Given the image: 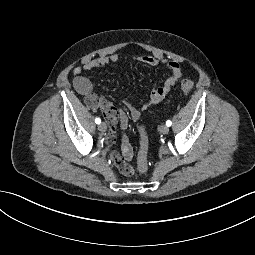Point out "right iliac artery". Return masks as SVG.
Listing matches in <instances>:
<instances>
[{"mask_svg": "<svg viewBox=\"0 0 255 255\" xmlns=\"http://www.w3.org/2000/svg\"><path fill=\"white\" fill-rule=\"evenodd\" d=\"M95 122H96L97 124H100V123H101V119H100V118H96V119H95Z\"/></svg>", "mask_w": 255, "mask_h": 255, "instance_id": "right-iliac-artery-1", "label": "right iliac artery"}]
</instances>
